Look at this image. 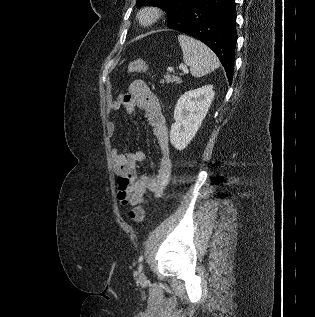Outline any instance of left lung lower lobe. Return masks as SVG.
I'll return each mask as SVG.
<instances>
[{
    "label": "left lung lower lobe",
    "mask_w": 315,
    "mask_h": 317,
    "mask_svg": "<svg viewBox=\"0 0 315 317\" xmlns=\"http://www.w3.org/2000/svg\"><path fill=\"white\" fill-rule=\"evenodd\" d=\"M169 28L193 36L211 48L232 83L237 42L235 0H195L183 19Z\"/></svg>",
    "instance_id": "0a47b994"
}]
</instances>
